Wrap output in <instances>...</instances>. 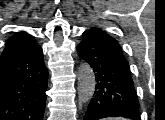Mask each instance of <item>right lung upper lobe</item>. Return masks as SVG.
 Listing matches in <instances>:
<instances>
[{"instance_id":"1","label":"right lung upper lobe","mask_w":165,"mask_h":120,"mask_svg":"<svg viewBox=\"0 0 165 120\" xmlns=\"http://www.w3.org/2000/svg\"><path fill=\"white\" fill-rule=\"evenodd\" d=\"M23 34H25V33H23V32H17L14 36L10 37L8 40L17 38V37H19V36H21Z\"/></svg>"}]
</instances>
